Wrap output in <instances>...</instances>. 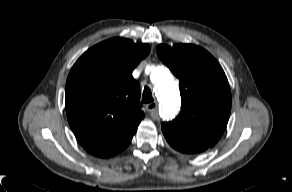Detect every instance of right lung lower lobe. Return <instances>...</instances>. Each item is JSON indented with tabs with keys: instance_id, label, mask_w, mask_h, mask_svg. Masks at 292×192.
<instances>
[{
	"instance_id": "98d812e1",
	"label": "right lung lower lobe",
	"mask_w": 292,
	"mask_h": 192,
	"mask_svg": "<svg viewBox=\"0 0 292 192\" xmlns=\"http://www.w3.org/2000/svg\"><path fill=\"white\" fill-rule=\"evenodd\" d=\"M131 139L132 138L113 146L84 147V148L86 151H88L90 154L94 156L101 157V158H108L123 151L129 145Z\"/></svg>"
}]
</instances>
